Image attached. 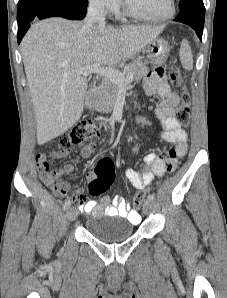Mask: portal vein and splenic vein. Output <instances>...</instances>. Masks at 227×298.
<instances>
[{
  "label": "portal vein and splenic vein",
  "mask_w": 227,
  "mask_h": 298,
  "mask_svg": "<svg viewBox=\"0 0 227 298\" xmlns=\"http://www.w3.org/2000/svg\"><path fill=\"white\" fill-rule=\"evenodd\" d=\"M93 73L100 75L120 86L130 84L133 80V74H128L125 77V74L121 71L110 67H103L99 63H94L92 65L85 66L78 71V74L82 75L83 77H87Z\"/></svg>",
  "instance_id": "portal-vein-and-splenic-vein-1"
}]
</instances>
